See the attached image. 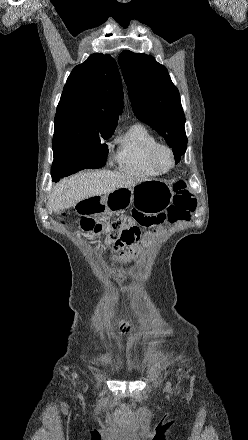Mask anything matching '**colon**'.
I'll use <instances>...</instances> for the list:
<instances>
[{
  "label": "colon",
  "instance_id": "colon-1",
  "mask_svg": "<svg viewBox=\"0 0 248 440\" xmlns=\"http://www.w3.org/2000/svg\"><path fill=\"white\" fill-rule=\"evenodd\" d=\"M174 196L172 204L165 212L157 215H147L142 209L136 208L131 216L117 219L113 223L111 236L117 240L115 250L120 251L125 245L138 242L141 238V231L136 225L145 227L156 226L166 221L176 222L187 220L196 207V200L182 181L176 182L173 186Z\"/></svg>",
  "mask_w": 248,
  "mask_h": 440
}]
</instances>
